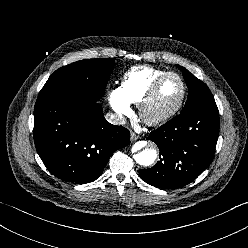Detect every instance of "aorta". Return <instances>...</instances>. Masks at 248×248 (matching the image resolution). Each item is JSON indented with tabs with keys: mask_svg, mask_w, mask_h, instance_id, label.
<instances>
[{
	"mask_svg": "<svg viewBox=\"0 0 248 248\" xmlns=\"http://www.w3.org/2000/svg\"><path fill=\"white\" fill-rule=\"evenodd\" d=\"M148 145L146 141H139L133 146L134 159L141 166H150L157 158V151L154 148H147Z\"/></svg>",
	"mask_w": 248,
	"mask_h": 248,
	"instance_id": "aorta-1",
	"label": "aorta"
}]
</instances>
